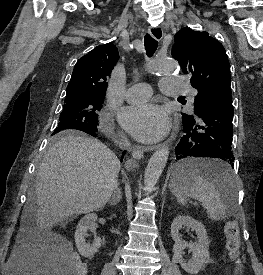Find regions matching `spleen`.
Wrapping results in <instances>:
<instances>
[{"instance_id":"obj_1","label":"spleen","mask_w":263,"mask_h":275,"mask_svg":"<svg viewBox=\"0 0 263 275\" xmlns=\"http://www.w3.org/2000/svg\"><path fill=\"white\" fill-rule=\"evenodd\" d=\"M221 169L223 174L216 183L202 174V170ZM219 188V189H218ZM170 190L179 204L185 205L188 197L198 200L208 217L219 221L228 216L236 204L237 179L227 164L216 160L190 159L178 164L172 173ZM223 193V197L220 194Z\"/></svg>"}]
</instances>
